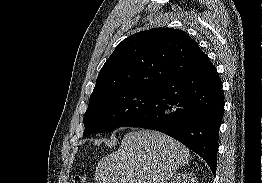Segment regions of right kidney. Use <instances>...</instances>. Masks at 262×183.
<instances>
[{
    "instance_id": "obj_1",
    "label": "right kidney",
    "mask_w": 262,
    "mask_h": 183,
    "mask_svg": "<svg viewBox=\"0 0 262 183\" xmlns=\"http://www.w3.org/2000/svg\"><path fill=\"white\" fill-rule=\"evenodd\" d=\"M169 183H196L194 175L189 172L177 173Z\"/></svg>"
}]
</instances>
